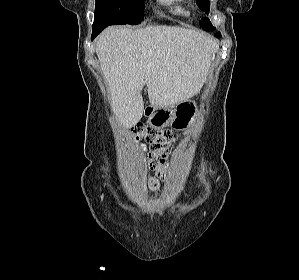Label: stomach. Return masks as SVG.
<instances>
[{"instance_id": "0dacf381", "label": "stomach", "mask_w": 299, "mask_h": 280, "mask_svg": "<svg viewBox=\"0 0 299 280\" xmlns=\"http://www.w3.org/2000/svg\"><path fill=\"white\" fill-rule=\"evenodd\" d=\"M215 52L211 54L209 64L215 62ZM149 124L162 129L166 126H172L176 129H184L192 121L194 111L191 102L185 101L171 107H148L146 110Z\"/></svg>"}]
</instances>
